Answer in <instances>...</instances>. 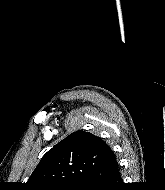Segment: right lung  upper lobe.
Listing matches in <instances>:
<instances>
[{
  "label": "right lung upper lobe",
  "instance_id": "1",
  "mask_svg": "<svg viewBox=\"0 0 165 190\" xmlns=\"http://www.w3.org/2000/svg\"><path fill=\"white\" fill-rule=\"evenodd\" d=\"M114 157L113 151L101 138L76 131L43 156L24 187L27 190H48L75 183Z\"/></svg>",
  "mask_w": 165,
  "mask_h": 190
}]
</instances>
